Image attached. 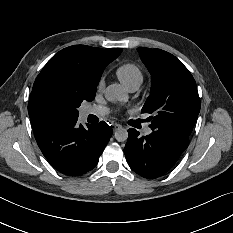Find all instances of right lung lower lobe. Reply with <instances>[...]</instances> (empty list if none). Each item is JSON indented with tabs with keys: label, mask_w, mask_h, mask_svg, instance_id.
Masks as SVG:
<instances>
[{
	"label": "right lung lower lobe",
	"mask_w": 233,
	"mask_h": 233,
	"mask_svg": "<svg viewBox=\"0 0 233 233\" xmlns=\"http://www.w3.org/2000/svg\"><path fill=\"white\" fill-rule=\"evenodd\" d=\"M33 130L48 162L68 176L92 170L112 135L111 126L104 121L87 128L77 125V120L53 121Z\"/></svg>",
	"instance_id": "1"
}]
</instances>
